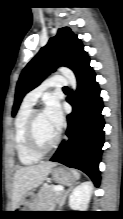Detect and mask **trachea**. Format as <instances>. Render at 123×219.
<instances>
[{
  "mask_svg": "<svg viewBox=\"0 0 123 219\" xmlns=\"http://www.w3.org/2000/svg\"><path fill=\"white\" fill-rule=\"evenodd\" d=\"M63 89H64V90H68V87H64Z\"/></svg>",
  "mask_w": 123,
  "mask_h": 219,
  "instance_id": "trachea-1",
  "label": "trachea"
}]
</instances>
